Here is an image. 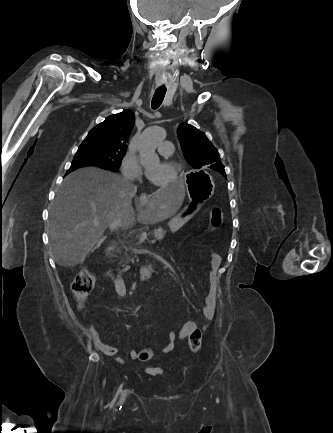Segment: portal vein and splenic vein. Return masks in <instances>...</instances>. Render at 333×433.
I'll return each instance as SVG.
<instances>
[{"label": "portal vein and splenic vein", "instance_id": "18ae733b", "mask_svg": "<svg viewBox=\"0 0 333 433\" xmlns=\"http://www.w3.org/2000/svg\"><path fill=\"white\" fill-rule=\"evenodd\" d=\"M152 243H154L155 242V240H153V241H151Z\"/></svg>", "mask_w": 333, "mask_h": 433}]
</instances>
